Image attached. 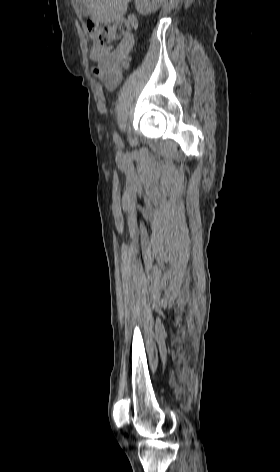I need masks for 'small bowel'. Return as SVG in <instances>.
Masks as SVG:
<instances>
[{
    "mask_svg": "<svg viewBox=\"0 0 280 472\" xmlns=\"http://www.w3.org/2000/svg\"><path fill=\"white\" fill-rule=\"evenodd\" d=\"M131 26L138 27L137 20L130 18ZM135 45L133 35L124 36L115 47L93 46L90 58L96 63L93 74L103 83L107 90H114L122 80V69L127 66Z\"/></svg>",
    "mask_w": 280,
    "mask_h": 472,
    "instance_id": "small-bowel-1",
    "label": "small bowel"
}]
</instances>
